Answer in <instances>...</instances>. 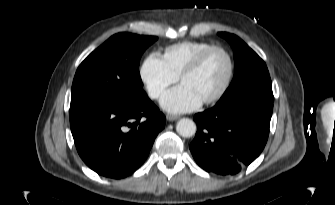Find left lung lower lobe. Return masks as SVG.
Listing matches in <instances>:
<instances>
[{"label": "left lung lower lobe", "mask_w": 335, "mask_h": 205, "mask_svg": "<svg viewBox=\"0 0 335 205\" xmlns=\"http://www.w3.org/2000/svg\"><path fill=\"white\" fill-rule=\"evenodd\" d=\"M272 111L269 100L240 96L196 114L199 127L190 150L197 164L220 175L248 166L266 145Z\"/></svg>", "instance_id": "left-lung-lower-lobe-1"}]
</instances>
